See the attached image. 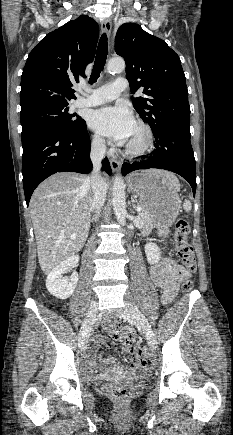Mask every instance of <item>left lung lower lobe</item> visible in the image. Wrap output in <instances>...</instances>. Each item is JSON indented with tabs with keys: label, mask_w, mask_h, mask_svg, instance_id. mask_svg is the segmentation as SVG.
Here are the masks:
<instances>
[{
	"label": "left lung lower lobe",
	"mask_w": 233,
	"mask_h": 435,
	"mask_svg": "<svg viewBox=\"0 0 233 435\" xmlns=\"http://www.w3.org/2000/svg\"><path fill=\"white\" fill-rule=\"evenodd\" d=\"M189 125L171 127L154 134L155 150L147 160L135 163H124L122 174L134 170L159 168L175 172L186 179L196 192V164L190 142Z\"/></svg>",
	"instance_id": "0a47b994"
}]
</instances>
